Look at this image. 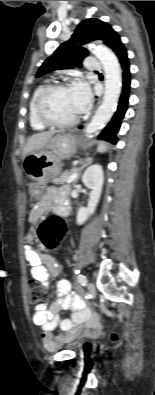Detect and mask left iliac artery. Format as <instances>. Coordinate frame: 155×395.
<instances>
[{
	"label": "left iliac artery",
	"mask_w": 155,
	"mask_h": 395,
	"mask_svg": "<svg viewBox=\"0 0 155 395\" xmlns=\"http://www.w3.org/2000/svg\"><path fill=\"white\" fill-rule=\"evenodd\" d=\"M77 281L82 285V286H86L87 285V279L83 274H79L77 276Z\"/></svg>",
	"instance_id": "obj_1"
}]
</instances>
